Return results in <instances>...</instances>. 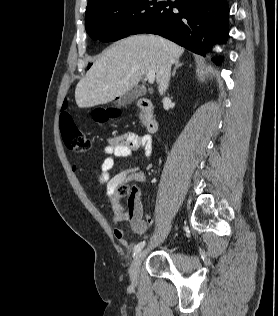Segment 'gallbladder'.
Returning <instances> with one entry per match:
<instances>
[{"instance_id":"1","label":"gallbladder","mask_w":278,"mask_h":316,"mask_svg":"<svg viewBox=\"0 0 278 316\" xmlns=\"http://www.w3.org/2000/svg\"><path fill=\"white\" fill-rule=\"evenodd\" d=\"M146 90L142 86H136L132 88L130 91H128L126 94L121 96L116 102L115 105L118 107H123L126 105L131 104L134 102L137 98L145 95Z\"/></svg>"}]
</instances>
